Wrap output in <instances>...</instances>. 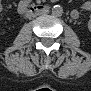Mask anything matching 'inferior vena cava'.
Returning <instances> with one entry per match:
<instances>
[{
	"label": "inferior vena cava",
	"instance_id": "inferior-vena-cava-1",
	"mask_svg": "<svg viewBox=\"0 0 91 91\" xmlns=\"http://www.w3.org/2000/svg\"><path fill=\"white\" fill-rule=\"evenodd\" d=\"M38 15H48V10L39 9L32 11V16H38Z\"/></svg>",
	"mask_w": 91,
	"mask_h": 91
}]
</instances>
